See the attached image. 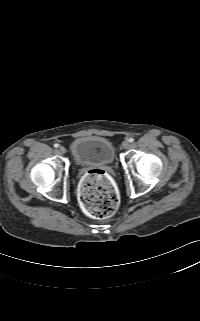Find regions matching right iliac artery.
Returning <instances> with one entry per match:
<instances>
[{
	"label": "right iliac artery",
	"instance_id": "obj_1",
	"mask_svg": "<svg viewBox=\"0 0 200 321\" xmlns=\"http://www.w3.org/2000/svg\"><path fill=\"white\" fill-rule=\"evenodd\" d=\"M54 147H55V148H58V147H59V144H57V143L54 144Z\"/></svg>",
	"mask_w": 200,
	"mask_h": 321
}]
</instances>
